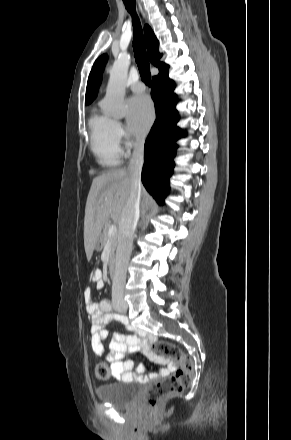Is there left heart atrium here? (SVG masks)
<instances>
[{
    "label": "left heart atrium",
    "mask_w": 291,
    "mask_h": 440,
    "mask_svg": "<svg viewBox=\"0 0 291 440\" xmlns=\"http://www.w3.org/2000/svg\"><path fill=\"white\" fill-rule=\"evenodd\" d=\"M154 120V108L146 96H134L128 101V127L137 136L144 135Z\"/></svg>",
    "instance_id": "left-heart-atrium-1"
}]
</instances>
